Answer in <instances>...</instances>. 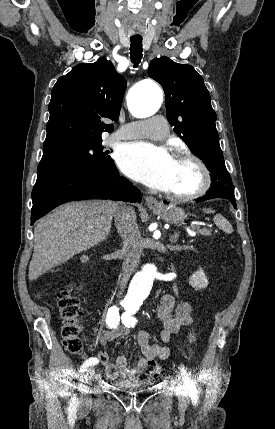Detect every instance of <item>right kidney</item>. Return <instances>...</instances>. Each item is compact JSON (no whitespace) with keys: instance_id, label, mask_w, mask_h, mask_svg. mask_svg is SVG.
I'll return each mask as SVG.
<instances>
[{"instance_id":"1","label":"right kidney","mask_w":275,"mask_h":429,"mask_svg":"<svg viewBox=\"0 0 275 429\" xmlns=\"http://www.w3.org/2000/svg\"><path fill=\"white\" fill-rule=\"evenodd\" d=\"M88 259H89V258H88L87 256H85V255H84V256H82L81 261H82V262H87V261H88Z\"/></svg>"}]
</instances>
